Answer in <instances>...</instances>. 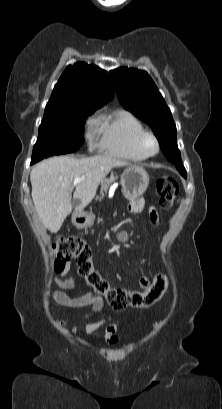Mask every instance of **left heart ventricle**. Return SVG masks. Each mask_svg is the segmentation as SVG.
<instances>
[{
  "label": "left heart ventricle",
  "mask_w": 222,
  "mask_h": 409,
  "mask_svg": "<svg viewBox=\"0 0 222 409\" xmlns=\"http://www.w3.org/2000/svg\"><path fill=\"white\" fill-rule=\"evenodd\" d=\"M147 146H148V150L151 151V150L153 149V143H152V141H148Z\"/></svg>",
  "instance_id": "obj_1"
}]
</instances>
